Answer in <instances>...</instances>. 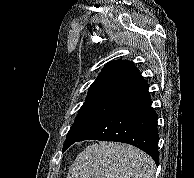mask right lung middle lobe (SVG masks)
Instances as JSON below:
<instances>
[{
	"label": "right lung middle lobe",
	"mask_w": 194,
	"mask_h": 178,
	"mask_svg": "<svg viewBox=\"0 0 194 178\" xmlns=\"http://www.w3.org/2000/svg\"><path fill=\"white\" fill-rule=\"evenodd\" d=\"M124 103L113 100L93 99L86 100L80 108L75 122L71 126L63 151L75 143L84 133L106 118Z\"/></svg>",
	"instance_id": "obj_1"
}]
</instances>
